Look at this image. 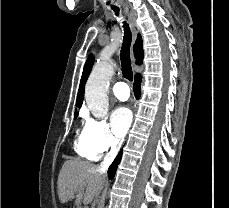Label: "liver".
<instances>
[{
  "label": "liver",
  "instance_id": "6515ba94",
  "mask_svg": "<svg viewBox=\"0 0 229 208\" xmlns=\"http://www.w3.org/2000/svg\"><path fill=\"white\" fill-rule=\"evenodd\" d=\"M104 184L103 174L98 172L97 166L90 162H81L80 158H72L64 162L58 176L59 200L66 204L76 198V206L81 202L89 204L103 190Z\"/></svg>",
  "mask_w": 229,
  "mask_h": 208
}]
</instances>
